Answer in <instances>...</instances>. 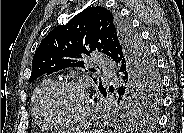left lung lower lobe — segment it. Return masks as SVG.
<instances>
[{"label":"left lung lower lobe","instance_id":"1","mask_svg":"<svg viewBox=\"0 0 184 133\" xmlns=\"http://www.w3.org/2000/svg\"><path fill=\"white\" fill-rule=\"evenodd\" d=\"M120 71H121V69H119V72H120ZM101 93L103 94V96H106V95H107L106 90L102 91ZM127 116H128V115H127ZM128 117H130L131 120H132V119L134 120V119H137L138 116H133V115H132V116H128Z\"/></svg>","mask_w":184,"mask_h":133}]
</instances>
